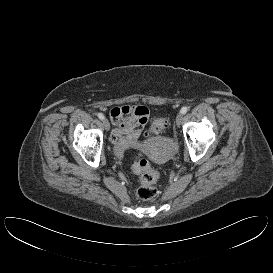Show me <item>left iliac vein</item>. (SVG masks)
Returning <instances> with one entry per match:
<instances>
[{"mask_svg": "<svg viewBox=\"0 0 273 273\" xmlns=\"http://www.w3.org/2000/svg\"><path fill=\"white\" fill-rule=\"evenodd\" d=\"M175 122L177 126H180L182 124L183 114L181 112L177 114Z\"/></svg>", "mask_w": 273, "mask_h": 273, "instance_id": "1", "label": "left iliac vein"}]
</instances>
